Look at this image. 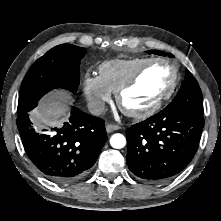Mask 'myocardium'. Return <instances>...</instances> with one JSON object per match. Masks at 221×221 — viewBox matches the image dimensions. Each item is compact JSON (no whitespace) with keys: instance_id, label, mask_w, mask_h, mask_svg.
<instances>
[{"instance_id":"obj_1","label":"myocardium","mask_w":221,"mask_h":221,"mask_svg":"<svg viewBox=\"0 0 221 221\" xmlns=\"http://www.w3.org/2000/svg\"><path fill=\"white\" fill-rule=\"evenodd\" d=\"M154 63H164L171 67L173 71L172 80L168 86V88L158 97V99L149 107L139 111H133L126 108L123 105V95L124 93L133 87L137 81L139 80L140 76ZM179 81V70L178 67L169 59L165 58H151L146 61L143 65H141L124 83H122L119 88L116 90V103L121 111L128 117L134 119H145L148 118L155 113H157L166 101L172 96L174 93Z\"/></svg>"}]
</instances>
